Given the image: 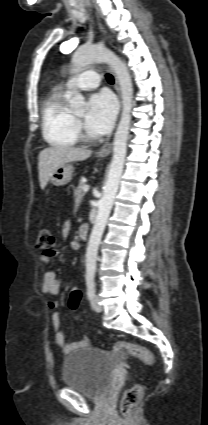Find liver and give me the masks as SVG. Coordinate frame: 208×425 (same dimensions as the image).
<instances>
[{
  "instance_id": "1",
  "label": "liver",
  "mask_w": 208,
  "mask_h": 425,
  "mask_svg": "<svg viewBox=\"0 0 208 425\" xmlns=\"http://www.w3.org/2000/svg\"><path fill=\"white\" fill-rule=\"evenodd\" d=\"M92 154L91 150L68 146H52L43 149L39 154L38 170L40 187L43 190L52 174L62 164L83 161Z\"/></svg>"
}]
</instances>
